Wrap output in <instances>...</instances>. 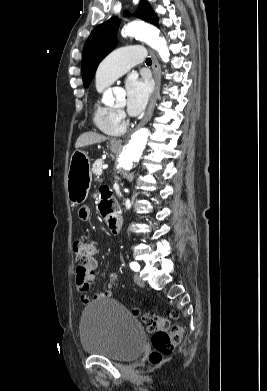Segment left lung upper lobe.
<instances>
[{
    "label": "left lung upper lobe",
    "mask_w": 267,
    "mask_h": 391,
    "mask_svg": "<svg viewBox=\"0 0 267 391\" xmlns=\"http://www.w3.org/2000/svg\"><path fill=\"white\" fill-rule=\"evenodd\" d=\"M136 16L144 21L157 25L158 18L146 0H141ZM119 19L113 17L98 25L88 37L82 55V78L85 87H88L94 77L101 60L116 46V34Z\"/></svg>",
    "instance_id": "5c2ea615"
}]
</instances>
